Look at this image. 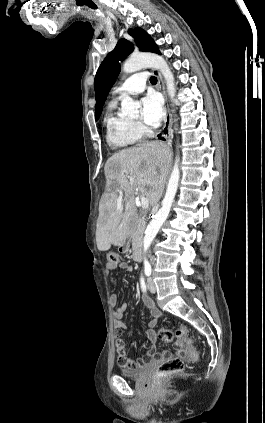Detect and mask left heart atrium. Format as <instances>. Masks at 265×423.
<instances>
[{
  "mask_svg": "<svg viewBox=\"0 0 265 423\" xmlns=\"http://www.w3.org/2000/svg\"><path fill=\"white\" fill-rule=\"evenodd\" d=\"M142 120L149 126L158 125L164 117L161 98L156 93H148L141 100Z\"/></svg>",
  "mask_w": 265,
  "mask_h": 423,
  "instance_id": "39dd6f15",
  "label": "left heart atrium"
}]
</instances>
